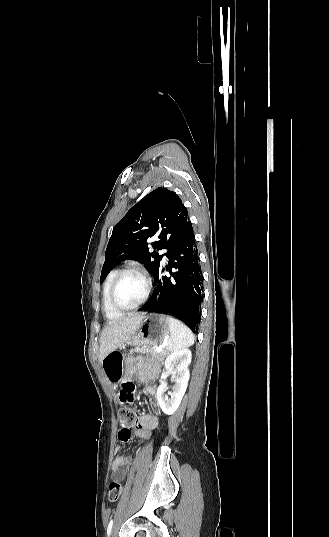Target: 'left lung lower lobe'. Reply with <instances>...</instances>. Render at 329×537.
I'll use <instances>...</instances> for the list:
<instances>
[{
  "label": "left lung lower lobe",
  "instance_id": "obj_1",
  "mask_svg": "<svg viewBox=\"0 0 329 537\" xmlns=\"http://www.w3.org/2000/svg\"><path fill=\"white\" fill-rule=\"evenodd\" d=\"M169 259L163 275L161 264L153 274L154 290L141 309L177 317L193 332H198L201 318L202 272L193 227L190 222L182 237L166 253Z\"/></svg>",
  "mask_w": 329,
  "mask_h": 537
}]
</instances>
